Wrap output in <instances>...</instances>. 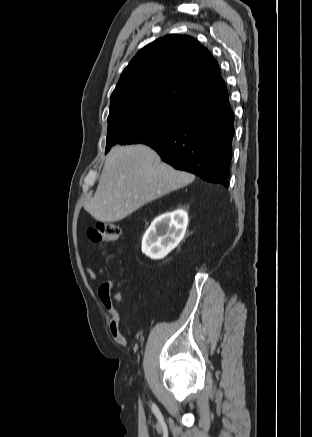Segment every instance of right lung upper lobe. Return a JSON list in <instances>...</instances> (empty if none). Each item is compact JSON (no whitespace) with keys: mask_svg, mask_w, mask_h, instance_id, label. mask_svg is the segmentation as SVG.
I'll return each mask as SVG.
<instances>
[{"mask_svg":"<svg viewBox=\"0 0 312 437\" xmlns=\"http://www.w3.org/2000/svg\"><path fill=\"white\" fill-rule=\"evenodd\" d=\"M225 93L211 53L190 36L171 34L145 46L124 69L110 98V112L144 102L194 111Z\"/></svg>","mask_w":312,"mask_h":437,"instance_id":"obj_1","label":"right lung upper lobe"}]
</instances>
